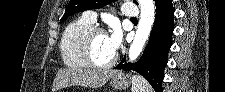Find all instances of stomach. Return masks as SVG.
<instances>
[{
    "instance_id": "1",
    "label": "stomach",
    "mask_w": 225,
    "mask_h": 92,
    "mask_svg": "<svg viewBox=\"0 0 225 92\" xmlns=\"http://www.w3.org/2000/svg\"><path fill=\"white\" fill-rule=\"evenodd\" d=\"M132 83V77L121 72H116L111 77V85L117 90H123Z\"/></svg>"
}]
</instances>
